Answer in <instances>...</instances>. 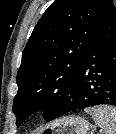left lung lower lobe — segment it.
Segmentation results:
<instances>
[{
    "label": "left lung lower lobe",
    "mask_w": 116,
    "mask_h": 134,
    "mask_svg": "<svg viewBox=\"0 0 116 134\" xmlns=\"http://www.w3.org/2000/svg\"><path fill=\"white\" fill-rule=\"evenodd\" d=\"M116 106V9L106 17L92 41L77 78L76 89L49 120L95 105Z\"/></svg>",
    "instance_id": "0a47b994"
}]
</instances>
